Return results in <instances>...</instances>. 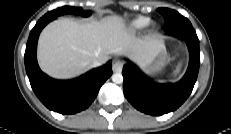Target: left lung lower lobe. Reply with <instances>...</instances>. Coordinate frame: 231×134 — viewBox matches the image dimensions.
I'll use <instances>...</instances> for the list:
<instances>
[{"label": "left lung lower lobe", "instance_id": "1", "mask_svg": "<svg viewBox=\"0 0 231 134\" xmlns=\"http://www.w3.org/2000/svg\"><path fill=\"white\" fill-rule=\"evenodd\" d=\"M166 33L183 38L189 48V66L179 82H153L131 64L124 65L122 71L125 97L136 109L150 115L166 114L181 106L191 94L199 71V40L192 25H180Z\"/></svg>", "mask_w": 231, "mask_h": 134}]
</instances>
